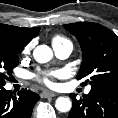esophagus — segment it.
<instances>
[{
	"mask_svg": "<svg viewBox=\"0 0 118 118\" xmlns=\"http://www.w3.org/2000/svg\"><path fill=\"white\" fill-rule=\"evenodd\" d=\"M57 94L54 92H50V91H44L41 93V97L43 98H47V97H55Z\"/></svg>",
	"mask_w": 118,
	"mask_h": 118,
	"instance_id": "34e87169",
	"label": "esophagus"
}]
</instances>
